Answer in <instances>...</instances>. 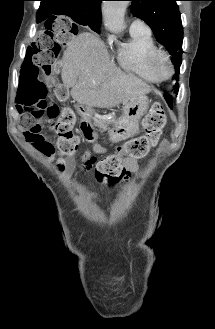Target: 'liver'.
<instances>
[{"label": "liver", "instance_id": "6515ba94", "mask_svg": "<svg viewBox=\"0 0 215 329\" xmlns=\"http://www.w3.org/2000/svg\"><path fill=\"white\" fill-rule=\"evenodd\" d=\"M61 78L66 88H72V98L89 107H115L151 92L141 79L122 72L91 33H81L68 43Z\"/></svg>", "mask_w": 215, "mask_h": 329}]
</instances>
